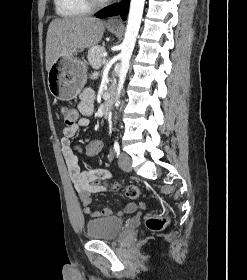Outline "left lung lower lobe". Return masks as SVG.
Here are the masks:
<instances>
[{
  "mask_svg": "<svg viewBox=\"0 0 247 280\" xmlns=\"http://www.w3.org/2000/svg\"><path fill=\"white\" fill-rule=\"evenodd\" d=\"M127 9H128V1H125L122 4H116L103 10L102 12L96 14V16L99 18H105V17L121 14L122 18L125 19Z\"/></svg>",
  "mask_w": 247,
  "mask_h": 280,
  "instance_id": "obj_1",
  "label": "left lung lower lobe"
}]
</instances>
